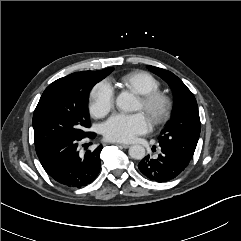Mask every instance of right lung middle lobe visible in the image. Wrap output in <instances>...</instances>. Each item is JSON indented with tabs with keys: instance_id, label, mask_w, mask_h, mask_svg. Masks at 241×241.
Returning a JSON list of instances; mask_svg holds the SVG:
<instances>
[{
	"instance_id": "right-lung-middle-lobe-1",
	"label": "right lung middle lobe",
	"mask_w": 241,
	"mask_h": 241,
	"mask_svg": "<svg viewBox=\"0 0 241 241\" xmlns=\"http://www.w3.org/2000/svg\"><path fill=\"white\" fill-rule=\"evenodd\" d=\"M105 77L74 73L46 88L33 116L36 151L51 143L81 138L89 133L88 94Z\"/></svg>"
}]
</instances>
